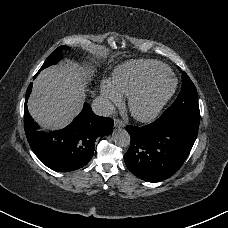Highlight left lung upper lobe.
Listing matches in <instances>:
<instances>
[{
	"instance_id": "left-lung-upper-lobe-1",
	"label": "left lung upper lobe",
	"mask_w": 228,
	"mask_h": 228,
	"mask_svg": "<svg viewBox=\"0 0 228 228\" xmlns=\"http://www.w3.org/2000/svg\"><path fill=\"white\" fill-rule=\"evenodd\" d=\"M162 121L200 122L197 91L189 76L182 73V90L175 102L160 116Z\"/></svg>"
}]
</instances>
